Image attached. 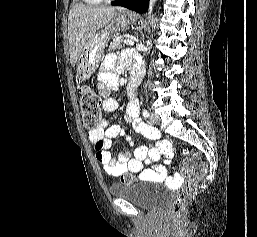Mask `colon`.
Returning <instances> with one entry per match:
<instances>
[{"label":"colon","instance_id":"1","mask_svg":"<svg viewBox=\"0 0 257 237\" xmlns=\"http://www.w3.org/2000/svg\"><path fill=\"white\" fill-rule=\"evenodd\" d=\"M81 111L84 124L87 128L93 130L99 126L101 113V99L99 95L88 86L81 88ZM186 161L181 166L182 185L176 192L175 200L170 210L172 219L182 218L184 209L189 202L191 194L195 191L197 183L205 175L206 167L204 164L195 165L192 162L197 155L189 150L183 151ZM122 183H131L133 178L130 175H123Z\"/></svg>","mask_w":257,"mask_h":237}]
</instances>
